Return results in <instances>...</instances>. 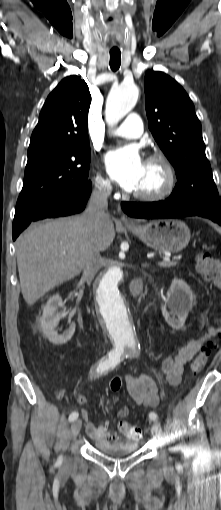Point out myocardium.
<instances>
[{
	"instance_id": "obj_1",
	"label": "myocardium",
	"mask_w": 221,
	"mask_h": 510,
	"mask_svg": "<svg viewBox=\"0 0 221 510\" xmlns=\"http://www.w3.org/2000/svg\"><path fill=\"white\" fill-rule=\"evenodd\" d=\"M146 163H158L165 171L166 180L163 187L154 193L134 192V198L143 202H156L169 197L176 185V173L170 160L163 154L155 153L147 157Z\"/></svg>"
}]
</instances>
